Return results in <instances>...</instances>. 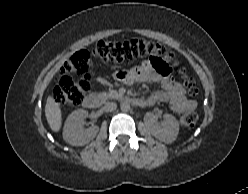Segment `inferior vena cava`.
<instances>
[{
	"instance_id": "602c4592",
	"label": "inferior vena cava",
	"mask_w": 248,
	"mask_h": 194,
	"mask_svg": "<svg viewBox=\"0 0 248 194\" xmlns=\"http://www.w3.org/2000/svg\"><path fill=\"white\" fill-rule=\"evenodd\" d=\"M116 108H117V105L114 102H107L104 105V110L107 112H112V111L116 110Z\"/></svg>"
}]
</instances>
